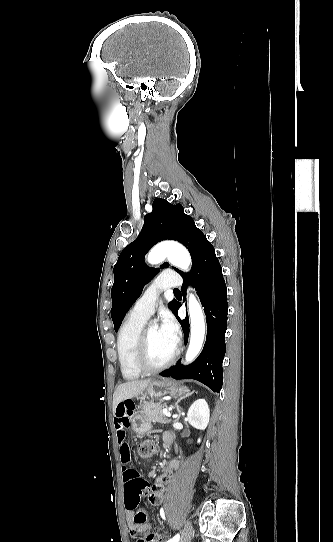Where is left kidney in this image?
<instances>
[{"label":"left kidney","mask_w":333,"mask_h":542,"mask_svg":"<svg viewBox=\"0 0 333 542\" xmlns=\"http://www.w3.org/2000/svg\"><path fill=\"white\" fill-rule=\"evenodd\" d=\"M187 420L196 430H206L210 420V410L206 400H196V402H193L188 410ZM200 442L199 438L198 444Z\"/></svg>","instance_id":"5707ae66"}]
</instances>
